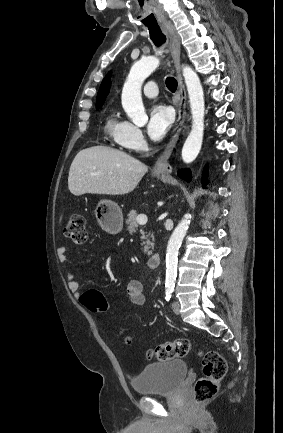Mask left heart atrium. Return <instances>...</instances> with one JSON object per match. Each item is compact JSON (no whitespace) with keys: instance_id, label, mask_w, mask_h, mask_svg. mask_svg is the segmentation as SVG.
<instances>
[{"instance_id":"obj_1","label":"left heart atrium","mask_w":283,"mask_h":433,"mask_svg":"<svg viewBox=\"0 0 283 433\" xmlns=\"http://www.w3.org/2000/svg\"><path fill=\"white\" fill-rule=\"evenodd\" d=\"M172 123V113L169 107L155 104L151 107L147 133L152 141L158 142L167 134Z\"/></svg>"}]
</instances>
